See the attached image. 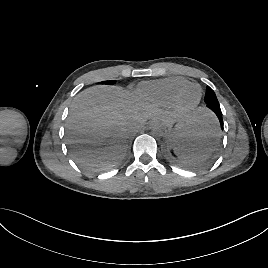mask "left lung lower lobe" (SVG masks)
Segmentation results:
<instances>
[{"label":"left lung lower lobe","mask_w":268,"mask_h":268,"mask_svg":"<svg viewBox=\"0 0 268 268\" xmlns=\"http://www.w3.org/2000/svg\"><path fill=\"white\" fill-rule=\"evenodd\" d=\"M207 107L209 109H211L216 114V116L219 119L221 129H223V119H222V112H221V109H220V105H207Z\"/></svg>","instance_id":"1"}]
</instances>
